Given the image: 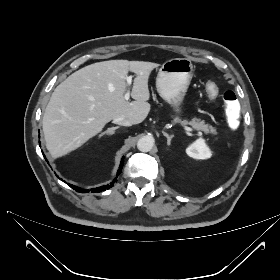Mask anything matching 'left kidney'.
I'll return each mask as SVG.
<instances>
[{
  "instance_id": "left-kidney-1",
  "label": "left kidney",
  "mask_w": 280,
  "mask_h": 280,
  "mask_svg": "<svg viewBox=\"0 0 280 280\" xmlns=\"http://www.w3.org/2000/svg\"><path fill=\"white\" fill-rule=\"evenodd\" d=\"M186 153L194 159H208L212 153L202 138L197 139L186 148Z\"/></svg>"
}]
</instances>
